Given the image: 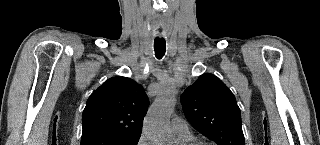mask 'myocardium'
Masks as SVG:
<instances>
[{"mask_svg":"<svg viewBox=\"0 0 320 145\" xmlns=\"http://www.w3.org/2000/svg\"><path fill=\"white\" fill-rule=\"evenodd\" d=\"M184 145H209V144L206 142H203V141H191V142L186 143Z\"/></svg>","mask_w":320,"mask_h":145,"instance_id":"f54148a6","label":"myocardium"}]
</instances>
